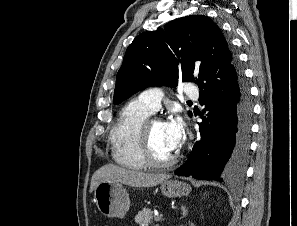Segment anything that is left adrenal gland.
I'll list each match as a JSON object with an SVG mask.
<instances>
[{
  "label": "left adrenal gland",
  "mask_w": 297,
  "mask_h": 226,
  "mask_svg": "<svg viewBox=\"0 0 297 226\" xmlns=\"http://www.w3.org/2000/svg\"><path fill=\"white\" fill-rule=\"evenodd\" d=\"M181 211H182V217L181 218L186 217V215H188V209L185 206L182 205Z\"/></svg>",
  "instance_id": "obj_1"
}]
</instances>
